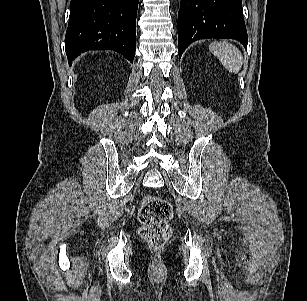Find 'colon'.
Wrapping results in <instances>:
<instances>
[{"label": "colon", "mask_w": 307, "mask_h": 301, "mask_svg": "<svg viewBox=\"0 0 307 301\" xmlns=\"http://www.w3.org/2000/svg\"><path fill=\"white\" fill-rule=\"evenodd\" d=\"M172 216L173 210L167 200L156 195L146 196L138 210L141 237L152 247L166 244L171 236Z\"/></svg>", "instance_id": "1"}]
</instances>
